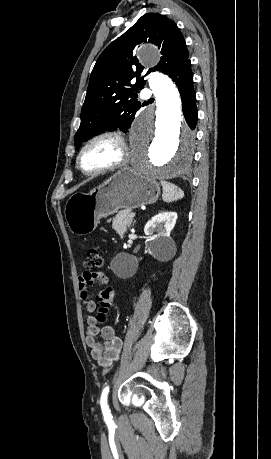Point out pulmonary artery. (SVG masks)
Here are the masks:
<instances>
[{
  "instance_id": "1",
  "label": "pulmonary artery",
  "mask_w": 271,
  "mask_h": 459,
  "mask_svg": "<svg viewBox=\"0 0 271 459\" xmlns=\"http://www.w3.org/2000/svg\"><path fill=\"white\" fill-rule=\"evenodd\" d=\"M141 96H142L141 101L143 103H146L148 101V98L151 96V91L149 89H143L141 91Z\"/></svg>"
}]
</instances>
